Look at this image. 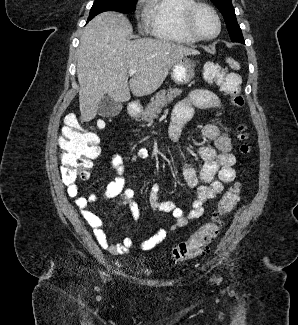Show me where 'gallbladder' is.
I'll return each mask as SVG.
<instances>
[{
  "instance_id": "bac80fb5",
  "label": "gallbladder",
  "mask_w": 298,
  "mask_h": 325,
  "mask_svg": "<svg viewBox=\"0 0 298 325\" xmlns=\"http://www.w3.org/2000/svg\"><path fill=\"white\" fill-rule=\"evenodd\" d=\"M120 110L118 102H115L111 96H103L100 102H98V114L100 116H116Z\"/></svg>"
}]
</instances>
